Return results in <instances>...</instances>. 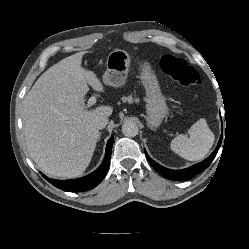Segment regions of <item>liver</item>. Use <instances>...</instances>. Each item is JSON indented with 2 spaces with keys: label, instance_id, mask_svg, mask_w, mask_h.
I'll return each mask as SVG.
<instances>
[{
  "label": "liver",
  "instance_id": "6515ba94",
  "mask_svg": "<svg viewBox=\"0 0 249 249\" xmlns=\"http://www.w3.org/2000/svg\"><path fill=\"white\" fill-rule=\"evenodd\" d=\"M84 54L78 52L51 66L24 99L22 119L28 152L51 177L83 174L99 136L95 122L113 112L110 106L86 109L88 84L100 92L104 87L94 72L82 67Z\"/></svg>",
  "mask_w": 249,
  "mask_h": 249
}]
</instances>
